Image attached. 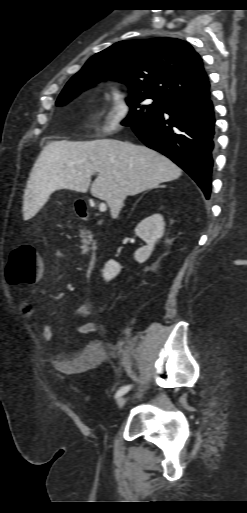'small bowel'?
I'll list each match as a JSON object with an SVG mask.
<instances>
[{"mask_svg": "<svg viewBox=\"0 0 247 513\" xmlns=\"http://www.w3.org/2000/svg\"><path fill=\"white\" fill-rule=\"evenodd\" d=\"M55 258L57 260H62L63 253L61 251H57L55 253ZM22 311L26 317H32L34 314L33 308L28 302H24ZM90 314L91 307L87 303L79 305L74 311V316L77 319H80L78 323V332L85 336H92L98 331V327L95 323L83 320ZM38 329L40 337L45 343L52 341L53 329L49 325L41 324ZM121 353L122 345L120 343L108 346L99 338H92L79 352L55 353L50 358V363L58 373L73 375L94 369L106 362L109 358L116 359L121 355Z\"/></svg>", "mask_w": 247, "mask_h": 513, "instance_id": "c3829d8e", "label": "small bowel"}]
</instances>
